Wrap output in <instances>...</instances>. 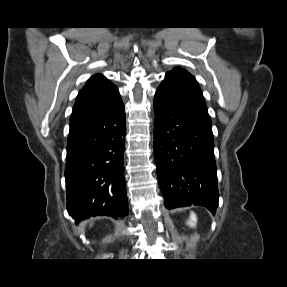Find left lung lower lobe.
Returning <instances> with one entry per match:
<instances>
[{"instance_id": "obj_1", "label": "left lung lower lobe", "mask_w": 287, "mask_h": 287, "mask_svg": "<svg viewBox=\"0 0 287 287\" xmlns=\"http://www.w3.org/2000/svg\"><path fill=\"white\" fill-rule=\"evenodd\" d=\"M154 155L167 209L218 206L217 168L211 122L178 101L164 86L154 97Z\"/></svg>"}]
</instances>
